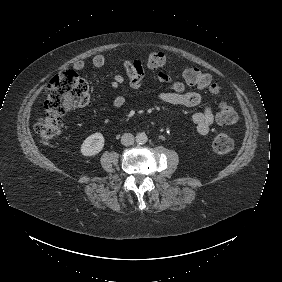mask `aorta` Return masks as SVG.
Instances as JSON below:
<instances>
[{
	"mask_svg": "<svg viewBox=\"0 0 282 282\" xmlns=\"http://www.w3.org/2000/svg\"><path fill=\"white\" fill-rule=\"evenodd\" d=\"M148 141V137L145 132H139L135 136V142L140 145L146 144Z\"/></svg>",
	"mask_w": 282,
	"mask_h": 282,
	"instance_id": "1",
	"label": "aorta"
}]
</instances>
